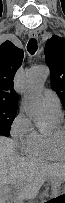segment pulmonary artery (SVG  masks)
<instances>
[{
    "instance_id": "1",
    "label": "pulmonary artery",
    "mask_w": 65,
    "mask_h": 203,
    "mask_svg": "<svg viewBox=\"0 0 65 203\" xmlns=\"http://www.w3.org/2000/svg\"><path fill=\"white\" fill-rule=\"evenodd\" d=\"M44 102L48 110L57 112L58 100L50 90H45L43 93Z\"/></svg>"
}]
</instances>
